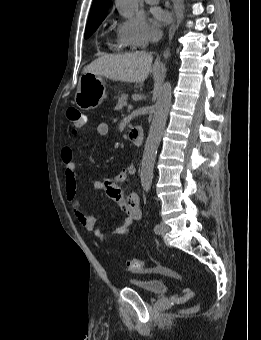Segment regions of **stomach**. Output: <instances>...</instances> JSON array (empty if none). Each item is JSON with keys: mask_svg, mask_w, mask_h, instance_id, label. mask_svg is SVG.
<instances>
[{"mask_svg": "<svg viewBox=\"0 0 261 340\" xmlns=\"http://www.w3.org/2000/svg\"><path fill=\"white\" fill-rule=\"evenodd\" d=\"M108 98L105 81L101 75L83 73L79 78L74 97L76 105L82 110H92Z\"/></svg>", "mask_w": 261, "mask_h": 340, "instance_id": "1", "label": "stomach"}]
</instances>
